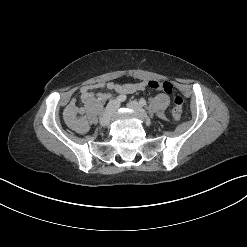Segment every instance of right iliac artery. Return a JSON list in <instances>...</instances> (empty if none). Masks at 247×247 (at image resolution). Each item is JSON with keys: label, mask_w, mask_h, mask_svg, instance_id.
<instances>
[{"label": "right iliac artery", "mask_w": 247, "mask_h": 247, "mask_svg": "<svg viewBox=\"0 0 247 247\" xmlns=\"http://www.w3.org/2000/svg\"><path fill=\"white\" fill-rule=\"evenodd\" d=\"M126 100V95L122 94V95H119L117 98H116V101L117 102H123Z\"/></svg>", "instance_id": "right-iliac-artery-1"}]
</instances>
